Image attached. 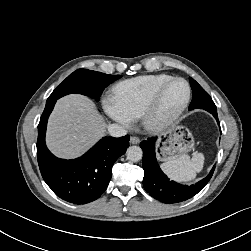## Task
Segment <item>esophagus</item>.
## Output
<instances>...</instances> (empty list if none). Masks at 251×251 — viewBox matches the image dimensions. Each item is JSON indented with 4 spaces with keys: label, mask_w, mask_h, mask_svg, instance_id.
Segmentation results:
<instances>
[{
    "label": "esophagus",
    "mask_w": 251,
    "mask_h": 251,
    "mask_svg": "<svg viewBox=\"0 0 251 251\" xmlns=\"http://www.w3.org/2000/svg\"><path fill=\"white\" fill-rule=\"evenodd\" d=\"M139 142H140V139L138 137H136V136H132L130 138V143L131 144H138Z\"/></svg>",
    "instance_id": "1"
}]
</instances>
